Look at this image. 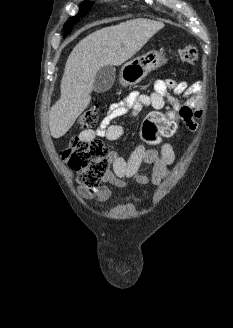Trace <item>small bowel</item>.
I'll list each match as a JSON object with an SVG mask.
<instances>
[{
	"mask_svg": "<svg viewBox=\"0 0 233 328\" xmlns=\"http://www.w3.org/2000/svg\"><path fill=\"white\" fill-rule=\"evenodd\" d=\"M201 88V82L188 85L184 81L177 82L173 79L157 80L154 83L153 92L142 94L134 91L123 100L111 104L99 127L96 130L82 131L79 138L87 141L93 140L95 137H104L109 141L118 140L122 137L124 129L119 124H113V121L128 113L137 115L145 106L159 111L169 105L172 111L180 116L188 129L194 131L198 127L197 119L201 116L199 109ZM169 90L175 94L184 95L188 98L187 101L180 104L177 99L169 95ZM108 157L113 164V170L105 176V184L124 187L126 181L134 180L139 184L151 182L154 185H160L169 174V167L175 160V153L169 143H160L158 149L140 145L128 158H124L116 152H110ZM144 164L152 165L150 177L141 172V166ZM79 193L84 199L96 202L106 201L111 194L106 185L100 186L94 191L80 188Z\"/></svg>",
	"mask_w": 233,
	"mask_h": 328,
	"instance_id": "c3829d8e",
	"label": "small bowel"
}]
</instances>
